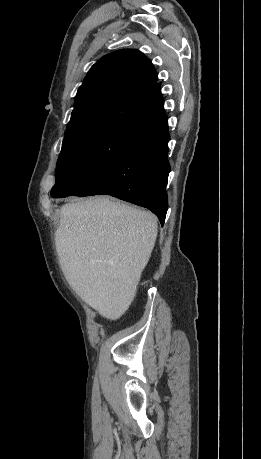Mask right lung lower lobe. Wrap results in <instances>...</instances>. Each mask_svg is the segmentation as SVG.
<instances>
[{"label":"right lung lower lobe","instance_id":"98d812e1","mask_svg":"<svg viewBox=\"0 0 261 459\" xmlns=\"http://www.w3.org/2000/svg\"><path fill=\"white\" fill-rule=\"evenodd\" d=\"M168 141L166 118L126 154L72 195H111L148 208L163 225L168 209Z\"/></svg>","mask_w":261,"mask_h":459}]
</instances>
